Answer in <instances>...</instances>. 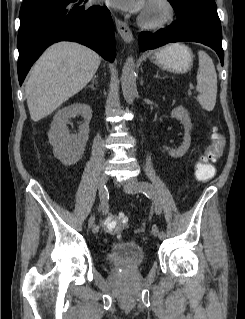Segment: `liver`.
<instances>
[{"label":"liver","instance_id":"liver-1","mask_svg":"<svg viewBox=\"0 0 245 319\" xmlns=\"http://www.w3.org/2000/svg\"><path fill=\"white\" fill-rule=\"evenodd\" d=\"M101 62L93 50L74 42L49 47L35 63L25 86L35 122L47 117L92 79Z\"/></svg>","mask_w":245,"mask_h":319}]
</instances>
